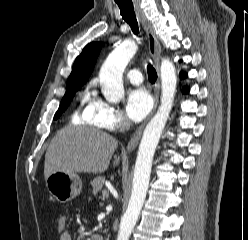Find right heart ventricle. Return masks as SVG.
Instances as JSON below:
<instances>
[{"label": "right heart ventricle", "mask_w": 248, "mask_h": 240, "mask_svg": "<svg viewBox=\"0 0 248 240\" xmlns=\"http://www.w3.org/2000/svg\"><path fill=\"white\" fill-rule=\"evenodd\" d=\"M95 99L91 96L89 90H86L81 99L79 104V109L76 115V119L80 124H90L89 121V114L94 105Z\"/></svg>", "instance_id": "obj_1"}]
</instances>
